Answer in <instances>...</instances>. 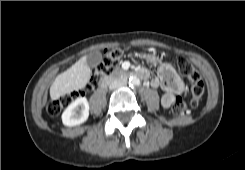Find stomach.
<instances>
[{"label":"stomach","instance_id":"0dacf381","mask_svg":"<svg viewBox=\"0 0 245 170\" xmlns=\"http://www.w3.org/2000/svg\"><path fill=\"white\" fill-rule=\"evenodd\" d=\"M143 58L151 64H156L158 62V58L154 54H143Z\"/></svg>","mask_w":245,"mask_h":170}]
</instances>
